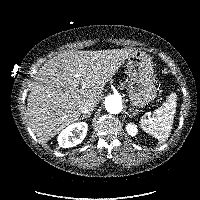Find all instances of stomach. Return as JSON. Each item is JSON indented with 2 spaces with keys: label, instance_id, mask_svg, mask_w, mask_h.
<instances>
[{
  "label": "stomach",
  "instance_id": "0dacf381",
  "mask_svg": "<svg viewBox=\"0 0 200 200\" xmlns=\"http://www.w3.org/2000/svg\"><path fill=\"white\" fill-rule=\"evenodd\" d=\"M126 68L129 74L128 96L133 105L144 107L156 96L152 60L146 53L135 51L126 59Z\"/></svg>",
  "mask_w": 200,
  "mask_h": 200
}]
</instances>
